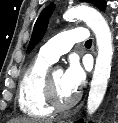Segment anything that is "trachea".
I'll return each mask as SVG.
<instances>
[{
  "mask_svg": "<svg viewBox=\"0 0 118 123\" xmlns=\"http://www.w3.org/2000/svg\"><path fill=\"white\" fill-rule=\"evenodd\" d=\"M92 44V39H89L85 42V45H91Z\"/></svg>",
  "mask_w": 118,
  "mask_h": 123,
  "instance_id": "3493384b",
  "label": "trachea"
}]
</instances>
